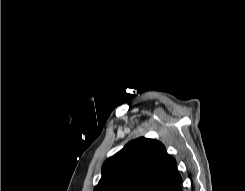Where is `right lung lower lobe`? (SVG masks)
<instances>
[{
    "label": "right lung lower lobe",
    "instance_id": "98d812e1",
    "mask_svg": "<svg viewBox=\"0 0 245 191\" xmlns=\"http://www.w3.org/2000/svg\"><path fill=\"white\" fill-rule=\"evenodd\" d=\"M173 191H183L181 188V183L173 189Z\"/></svg>",
    "mask_w": 245,
    "mask_h": 191
}]
</instances>
